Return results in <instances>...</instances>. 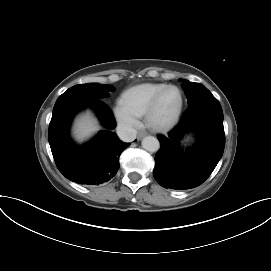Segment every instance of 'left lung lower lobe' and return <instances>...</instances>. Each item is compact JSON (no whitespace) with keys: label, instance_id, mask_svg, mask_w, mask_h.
Instances as JSON below:
<instances>
[{"label":"left lung lower lobe","instance_id":"0a47b994","mask_svg":"<svg viewBox=\"0 0 271 271\" xmlns=\"http://www.w3.org/2000/svg\"><path fill=\"white\" fill-rule=\"evenodd\" d=\"M193 131L197 133L198 146L184 152L180 141ZM158 139L161 147L153 171L157 182L177 190L199 186L213 172L224 151L223 111L219 101L213 97L189 106L180 123Z\"/></svg>","mask_w":271,"mask_h":271}]
</instances>
